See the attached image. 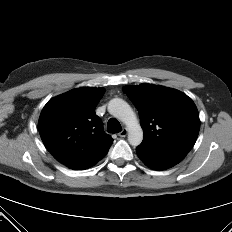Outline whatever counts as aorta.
<instances>
[{"label": "aorta", "instance_id": "aorta-1", "mask_svg": "<svg viewBox=\"0 0 232 232\" xmlns=\"http://www.w3.org/2000/svg\"><path fill=\"white\" fill-rule=\"evenodd\" d=\"M108 112L123 122L128 130V141L138 146L143 140V130L130 105L121 98H114L108 103Z\"/></svg>", "mask_w": 232, "mask_h": 232}]
</instances>
